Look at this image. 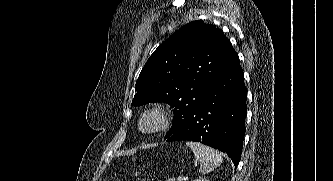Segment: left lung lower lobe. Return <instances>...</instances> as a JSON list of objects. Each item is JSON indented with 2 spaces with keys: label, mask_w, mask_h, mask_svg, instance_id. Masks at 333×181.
Instances as JSON below:
<instances>
[{
  "label": "left lung lower lobe",
  "mask_w": 333,
  "mask_h": 181,
  "mask_svg": "<svg viewBox=\"0 0 333 181\" xmlns=\"http://www.w3.org/2000/svg\"><path fill=\"white\" fill-rule=\"evenodd\" d=\"M246 87L239 57L207 88L202 102L173 120L166 141H197L226 153L237 167L245 134Z\"/></svg>",
  "instance_id": "1"
}]
</instances>
